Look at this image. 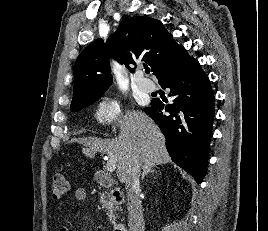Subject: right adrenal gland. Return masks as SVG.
Listing matches in <instances>:
<instances>
[{"label": "right adrenal gland", "mask_w": 268, "mask_h": 231, "mask_svg": "<svg viewBox=\"0 0 268 231\" xmlns=\"http://www.w3.org/2000/svg\"><path fill=\"white\" fill-rule=\"evenodd\" d=\"M157 166L154 165V164H144L143 166V172H142V175H141V180H144L145 176H147L148 174H154V173H157V171H155V168Z\"/></svg>", "instance_id": "2a0ac1e0"}]
</instances>
